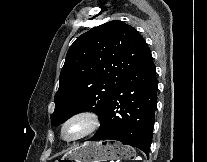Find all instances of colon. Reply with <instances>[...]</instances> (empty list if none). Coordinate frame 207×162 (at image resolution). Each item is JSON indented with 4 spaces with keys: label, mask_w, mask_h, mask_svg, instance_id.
<instances>
[{
    "label": "colon",
    "mask_w": 207,
    "mask_h": 162,
    "mask_svg": "<svg viewBox=\"0 0 207 162\" xmlns=\"http://www.w3.org/2000/svg\"><path fill=\"white\" fill-rule=\"evenodd\" d=\"M59 162H70V161H68V160H60Z\"/></svg>",
    "instance_id": "1"
}]
</instances>
